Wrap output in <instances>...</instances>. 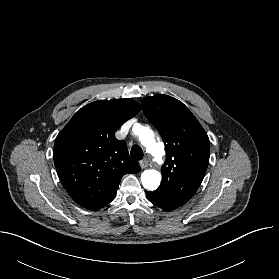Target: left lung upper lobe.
<instances>
[{"mask_svg":"<svg viewBox=\"0 0 279 279\" xmlns=\"http://www.w3.org/2000/svg\"><path fill=\"white\" fill-rule=\"evenodd\" d=\"M142 107L161 134L167 153L161 168V185L151 193L187 202L202 183L209 164L207 133L190 110L173 97H146Z\"/></svg>","mask_w":279,"mask_h":279,"instance_id":"5c2ea615","label":"left lung upper lobe"}]
</instances>
